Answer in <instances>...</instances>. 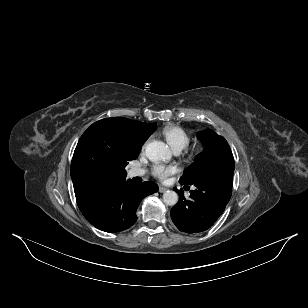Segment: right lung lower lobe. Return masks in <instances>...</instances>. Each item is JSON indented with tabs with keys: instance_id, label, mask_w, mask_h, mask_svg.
<instances>
[{
	"instance_id": "right-lung-lower-lobe-1",
	"label": "right lung lower lobe",
	"mask_w": 308,
	"mask_h": 308,
	"mask_svg": "<svg viewBox=\"0 0 308 308\" xmlns=\"http://www.w3.org/2000/svg\"><path fill=\"white\" fill-rule=\"evenodd\" d=\"M154 182L135 184L131 180L114 183L77 202L84 217L105 232H118L132 226L136 210L147 195L157 192Z\"/></svg>"
}]
</instances>
